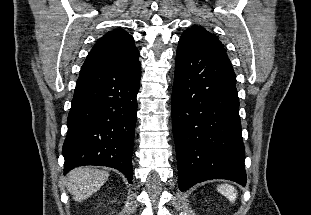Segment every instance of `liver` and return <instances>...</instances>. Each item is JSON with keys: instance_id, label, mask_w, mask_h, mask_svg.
Segmentation results:
<instances>
[{"instance_id": "liver-1", "label": "liver", "mask_w": 311, "mask_h": 215, "mask_svg": "<svg viewBox=\"0 0 311 215\" xmlns=\"http://www.w3.org/2000/svg\"><path fill=\"white\" fill-rule=\"evenodd\" d=\"M109 173L93 167H79L69 172L66 186L75 201H83L97 192Z\"/></svg>"}]
</instances>
